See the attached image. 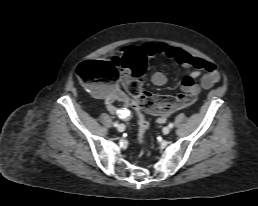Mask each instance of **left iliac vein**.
I'll use <instances>...</instances> for the list:
<instances>
[{
	"label": "left iliac vein",
	"mask_w": 258,
	"mask_h": 206,
	"mask_svg": "<svg viewBox=\"0 0 258 206\" xmlns=\"http://www.w3.org/2000/svg\"><path fill=\"white\" fill-rule=\"evenodd\" d=\"M162 131H163V134L167 135L170 132V128L169 127H164Z\"/></svg>",
	"instance_id": "obj_1"
}]
</instances>
